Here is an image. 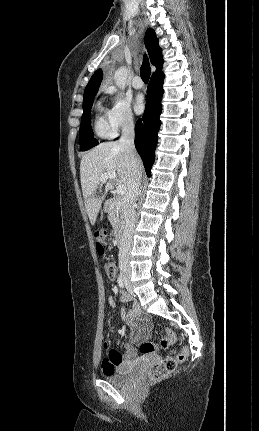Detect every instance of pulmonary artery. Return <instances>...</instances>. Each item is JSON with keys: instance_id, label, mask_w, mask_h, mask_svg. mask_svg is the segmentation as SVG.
Instances as JSON below:
<instances>
[{"instance_id": "e3ab8cb5", "label": "pulmonary artery", "mask_w": 259, "mask_h": 431, "mask_svg": "<svg viewBox=\"0 0 259 431\" xmlns=\"http://www.w3.org/2000/svg\"><path fill=\"white\" fill-rule=\"evenodd\" d=\"M132 86L135 89H141L143 87V81L140 76H135L132 80Z\"/></svg>"}]
</instances>
